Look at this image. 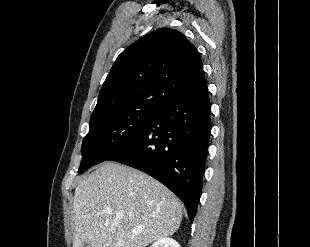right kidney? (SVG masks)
Masks as SVG:
<instances>
[{"instance_id": "ca27d5eb", "label": "right kidney", "mask_w": 310, "mask_h": 247, "mask_svg": "<svg viewBox=\"0 0 310 247\" xmlns=\"http://www.w3.org/2000/svg\"><path fill=\"white\" fill-rule=\"evenodd\" d=\"M150 247H180V245L176 240L169 237H164L157 240Z\"/></svg>"}]
</instances>
